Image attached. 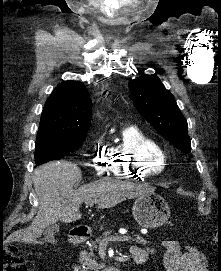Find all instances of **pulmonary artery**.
Wrapping results in <instances>:
<instances>
[{"instance_id": "obj_1", "label": "pulmonary artery", "mask_w": 221, "mask_h": 271, "mask_svg": "<svg viewBox=\"0 0 221 271\" xmlns=\"http://www.w3.org/2000/svg\"><path fill=\"white\" fill-rule=\"evenodd\" d=\"M126 127H128L130 124L128 122H126L124 124ZM136 127L139 125L137 122L134 124ZM127 133H123L122 137L123 138H139L140 134L136 133V128H127Z\"/></svg>"}]
</instances>
